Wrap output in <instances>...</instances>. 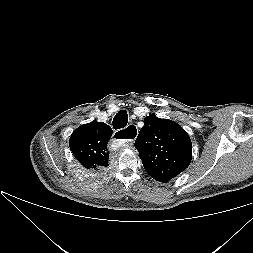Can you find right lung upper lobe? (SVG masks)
Masks as SVG:
<instances>
[{"instance_id":"obj_1","label":"right lung upper lobe","mask_w":253,"mask_h":253,"mask_svg":"<svg viewBox=\"0 0 253 253\" xmlns=\"http://www.w3.org/2000/svg\"><path fill=\"white\" fill-rule=\"evenodd\" d=\"M112 133L111 127L103 122L92 121L81 125L70 137V149L86 169H104L108 166L107 143Z\"/></svg>"}]
</instances>
